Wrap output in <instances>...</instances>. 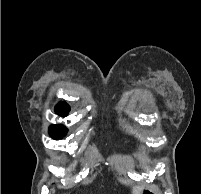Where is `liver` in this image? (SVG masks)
Returning a JSON list of instances; mask_svg holds the SVG:
<instances>
[{"mask_svg": "<svg viewBox=\"0 0 201 194\" xmlns=\"http://www.w3.org/2000/svg\"><path fill=\"white\" fill-rule=\"evenodd\" d=\"M140 191H141V187H135L133 194H139Z\"/></svg>", "mask_w": 201, "mask_h": 194, "instance_id": "6515ba94", "label": "liver"}]
</instances>
